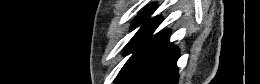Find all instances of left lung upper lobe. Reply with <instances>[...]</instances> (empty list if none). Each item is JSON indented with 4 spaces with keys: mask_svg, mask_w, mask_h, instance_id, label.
<instances>
[{
    "mask_svg": "<svg viewBox=\"0 0 260 84\" xmlns=\"http://www.w3.org/2000/svg\"><path fill=\"white\" fill-rule=\"evenodd\" d=\"M156 7V4H152L147 6L135 19L132 28H136L139 26L144 20L147 18V16L153 11V9Z\"/></svg>",
    "mask_w": 260,
    "mask_h": 84,
    "instance_id": "obj_1",
    "label": "left lung upper lobe"
}]
</instances>
